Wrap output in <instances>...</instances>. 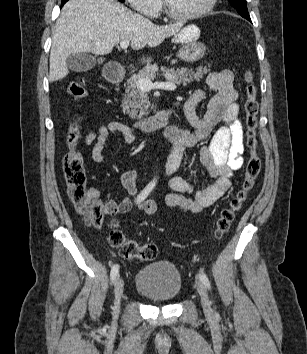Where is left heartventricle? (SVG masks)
I'll use <instances>...</instances> for the list:
<instances>
[{"label": "left heart ventricle", "mask_w": 307, "mask_h": 354, "mask_svg": "<svg viewBox=\"0 0 307 354\" xmlns=\"http://www.w3.org/2000/svg\"><path fill=\"white\" fill-rule=\"evenodd\" d=\"M208 0H165L169 8L178 14H187L202 9Z\"/></svg>", "instance_id": "1"}]
</instances>
